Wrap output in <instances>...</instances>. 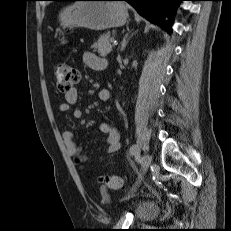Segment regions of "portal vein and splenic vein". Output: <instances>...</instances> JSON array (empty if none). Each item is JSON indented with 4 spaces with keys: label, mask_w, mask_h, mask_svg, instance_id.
Instances as JSON below:
<instances>
[{
    "label": "portal vein and splenic vein",
    "mask_w": 231,
    "mask_h": 231,
    "mask_svg": "<svg viewBox=\"0 0 231 231\" xmlns=\"http://www.w3.org/2000/svg\"><path fill=\"white\" fill-rule=\"evenodd\" d=\"M110 42H112V43H116V40L114 39V37H112L111 39H110Z\"/></svg>",
    "instance_id": "obj_1"
}]
</instances>
